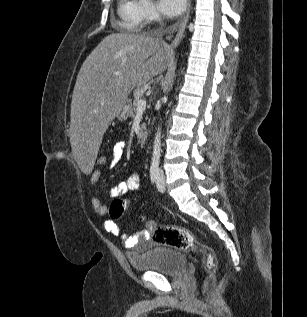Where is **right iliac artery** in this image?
Listing matches in <instances>:
<instances>
[{
    "mask_svg": "<svg viewBox=\"0 0 307 317\" xmlns=\"http://www.w3.org/2000/svg\"><path fill=\"white\" fill-rule=\"evenodd\" d=\"M158 175H159V168L157 166H152L150 168V179L153 184L157 182Z\"/></svg>",
    "mask_w": 307,
    "mask_h": 317,
    "instance_id": "82829eb1",
    "label": "right iliac artery"
}]
</instances>
